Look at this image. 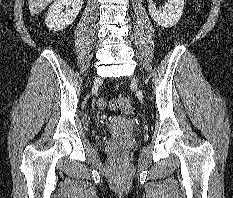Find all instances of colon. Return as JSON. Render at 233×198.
Returning <instances> with one entry per match:
<instances>
[{
    "label": "colon",
    "instance_id": "1",
    "mask_svg": "<svg viewBox=\"0 0 233 198\" xmlns=\"http://www.w3.org/2000/svg\"><path fill=\"white\" fill-rule=\"evenodd\" d=\"M97 105L100 109H111L116 110L123 114H133L134 107L127 97H119L112 100H107L106 98H99Z\"/></svg>",
    "mask_w": 233,
    "mask_h": 198
}]
</instances>
